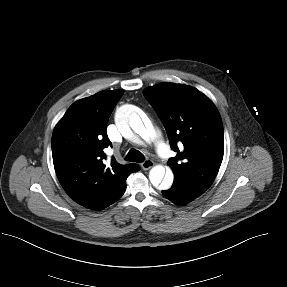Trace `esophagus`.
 <instances>
[{"label": "esophagus", "mask_w": 287, "mask_h": 287, "mask_svg": "<svg viewBox=\"0 0 287 287\" xmlns=\"http://www.w3.org/2000/svg\"><path fill=\"white\" fill-rule=\"evenodd\" d=\"M154 166V162L150 159L145 160L141 163V167L143 170H148Z\"/></svg>", "instance_id": "34e87169"}]
</instances>
